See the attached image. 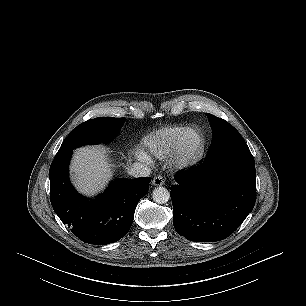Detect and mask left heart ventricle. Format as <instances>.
<instances>
[{
	"instance_id": "left-heart-ventricle-1",
	"label": "left heart ventricle",
	"mask_w": 306,
	"mask_h": 306,
	"mask_svg": "<svg viewBox=\"0 0 306 306\" xmlns=\"http://www.w3.org/2000/svg\"><path fill=\"white\" fill-rule=\"evenodd\" d=\"M188 147H194L198 143V134L196 132H192L189 134L186 140Z\"/></svg>"
}]
</instances>
